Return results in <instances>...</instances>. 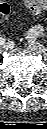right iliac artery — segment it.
<instances>
[{
	"label": "right iliac artery",
	"instance_id": "right-iliac-artery-1",
	"mask_svg": "<svg viewBox=\"0 0 47 129\" xmlns=\"http://www.w3.org/2000/svg\"><path fill=\"white\" fill-rule=\"evenodd\" d=\"M6 43V39H5V37H1L0 38V44H5Z\"/></svg>",
	"mask_w": 47,
	"mask_h": 129
}]
</instances>
